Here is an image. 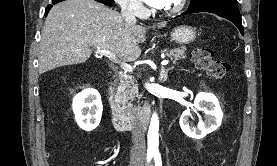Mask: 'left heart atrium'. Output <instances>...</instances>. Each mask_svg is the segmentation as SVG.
Returning <instances> with one entry per match:
<instances>
[{
  "label": "left heart atrium",
  "mask_w": 277,
  "mask_h": 166,
  "mask_svg": "<svg viewBox=\"0 0 277 166\" xmlns=\"http://www.w3.org/2000/svg\"><path fill=\"white\" fill-rule=\"evenodd\" d=\"M143 1L152 7L161 9L166 4L167 0H143Z\"/></svg>",
  "instance_id": "left-heart-atrium-1"
}]
</instances>
